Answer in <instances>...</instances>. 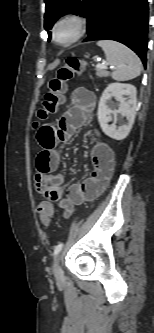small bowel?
Here are the masks:
<instances>
[{"label": "small bowel", "mask_w": 154, "mask_h": 333, "mask_svg": "<svg viewBox=\"0 0 154 333\" xmlns=\"http://www.w3.org/2000/svg\"><path fill=\"white\" fill-rule=\"evenodd\" d=\"M95 103L96 97L91 90L76 88L71 96V106L59 119L57 126L47 123L37 129L36 137L41 151L36 158L35 189L46 201L56 203L66 218L71 215L74 206L99 197L114 173V152L105 142L103 134L94 129L92 173L84 181L71 184L64 194L63 176L58 172L61 159L59 144L68 141L88 122Z\"/></svg>", "instance_id": "1"}]
</instances>
